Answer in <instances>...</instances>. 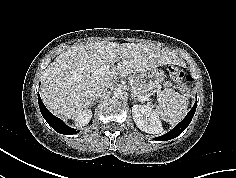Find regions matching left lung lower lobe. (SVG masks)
I'll return each mask as SVG.
<instances>
[{
  "label": "left lung lower lobe",
  "mask_w": 236,
  "mask_h": 178,
  "mask_svg": "<svg viewBox=\"0 0 236 178\" xmlns=\"http://www.w3.org/2000/svg\"><path fill=\"white\" fill-rule=\"evenodd\" d=\"M196 106H197V102H195L193 108L189 111L187 116L175 128H173L168 133L155 138V140L165 141V140H171V139L179 136L190 124V122L194 116V113L196 111Z\"/></svg>",
  "instance_id": "obj_1"
}]
</instances>
